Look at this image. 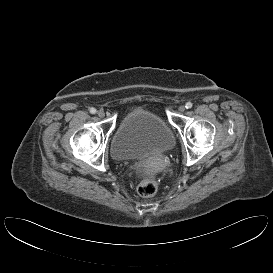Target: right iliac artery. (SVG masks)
Segmentation results:
<instances>
[{
    "label": "right iliac artery",
    "instance_id": "obj_1",
    "mask_svg": "<svg viewBox=\"0 0 273 273\" xmlns=\"http://www.w3.org/2000/svg\"><path fill=\"white\" fill-rule=\"evenodd\" d=\"M90 113L95 114L96 113V109L95 108H91L90 109Z\"/></svg>",
    "mask_w": 273,
    "mask_h": 273
}]
</instances>
